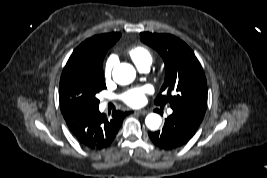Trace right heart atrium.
<instances>
[{
  "label": "right heart atrium",
  "mask_w": 267,
  "mask_h": 178,
  "mask_svg": "<svg viewBox=\"0 0 267 178\" xmlns=\"http://www.w3.org/2000/svg\"><path fill=\"white\" fill-rule=\"evenodd\" d=\"M115 64V59L114 57H109L105 64H104V68H103V73H104V77L105 79H110L112 76V70Z\"/></svg>",
  "instance_id": "1"
}]
</instances>
